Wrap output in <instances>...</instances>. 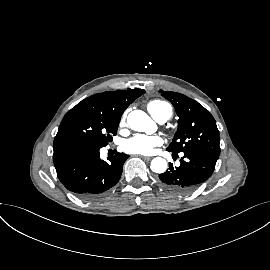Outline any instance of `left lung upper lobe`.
I'll return each mask as SVG.
<instances>
[{"mask_svg":"<svg viewBox=\"0 0 270 270\" xmlns=\"http://www.w3.org/2000/svg\"><path fill=\"white\" fill-rule=\"evenodd\" d=\"M160 93L173 104L179 117L177 132L167 150L195 151L219 158V130L210 112L183 94L163 90Z\"/></svg>","mask_w":270,"mask_h":270,"instance_id":"1","label":"left lung upper lobe"}]
</instances>
